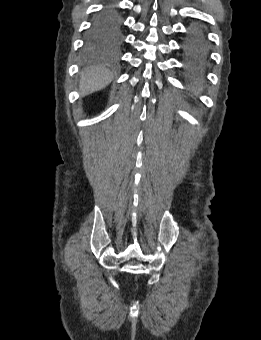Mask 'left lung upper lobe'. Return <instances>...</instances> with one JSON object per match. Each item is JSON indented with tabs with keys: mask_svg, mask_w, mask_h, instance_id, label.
Here are the masks:
<instances>
[{
	"mask_svg": "<svg viewBox=\"0 0 261 340\" xmlns=\"http://www.w3.org/2000/svg\"><path fill=\"white\" fill-rule=\"evenodd\" d=\"M187 46L194 52L204 53L207 51V39L201 27L196 26L192 29Z\"/></svg>",
	"mask_w": 261,
	"mask_h": 340,
	"instance_id": "obj_1",
	"label": "left lung upper lobe"
}]
</instances>
